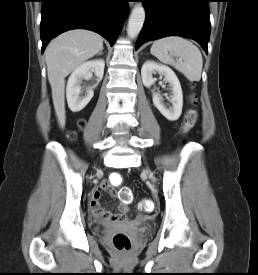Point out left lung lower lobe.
Segmentation results:
<instances>
[{"instance_id":"0a47b994","label":"left lung lower lobe","mask_w":258,"mask_h":275,"mask_svg":"<svg viewBox=\"0 0 258 275\" xmlns=\"http://www.w3.org/2000/svg\"><path fill=\"white\" fill-rule=\"evenodd\" d=\"M146 20L135 49L166 36L197 41L208 52L210 37L209 0H143Z\"/></svg>"}]
</instances>
